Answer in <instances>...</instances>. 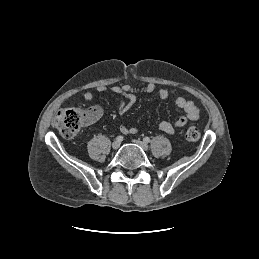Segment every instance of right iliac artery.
I'll use <instances>...</instances> for the list:
<instances>
[{"label":"right iliac artery","mask_w":259,"mask_h":259,"mask_svg":"<svg viewBox=\"0 0 259 259\" xmlns=\"http://www.w3.org/2000/svg\"><path fill=\"white\" fill-rule=\"evenodd\" d=\"M123 139H124V138H123V136H121V135L117 136V138H116V140L119 141V142H122Z\"/></svg>","instance_id":"obj_1"}]
</instances>
